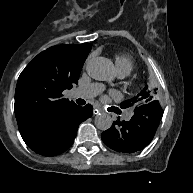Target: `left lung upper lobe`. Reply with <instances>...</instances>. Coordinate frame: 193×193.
<instances>
[{
    "instance_id": "obj_1",
    "label": "left lung upper lobe",
    "mask_w": 193,
    "mask_h": 193,
    "mask_svg": "<svg viewBox=\"0 0 193 193\" xmlns=\"http://www.w3.org/2000/svg\"><path fill=\"white\" fill-rule=\"evenodd\" d=\"M154 94L147 90V86L134 98L130 100L124 101L121 105L129 107V106H139L141 104H148L154 102ZM158 102V101H157Z\"/></svg>"
}]
</instances>
